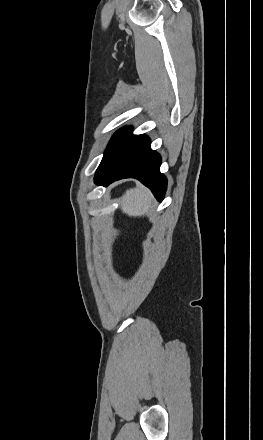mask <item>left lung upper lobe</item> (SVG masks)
<instances>
[{
	"label": "left lung upper lobe",
	"instance_id": "obj_1",
	"mask_svg": "<svg viewBox=\"0 0 263 440\" xmlns=\"http://www.w3.org/2000/svg\"><path fill=\"white\" fill-rule=\"evenodd\" d=\"M125 128L120 129L118 132H116L114 134V136L112 137V139L110 140V143L104 153L103 159L97 169V171H100L101 169L104 168V166L108 163L111 155L113 154L115 148L117 147L120 139L122 138L124 132H125Z\"/></svg>",
	"mask_w": 263,
	"mask_h": 440
}]
</instances>
